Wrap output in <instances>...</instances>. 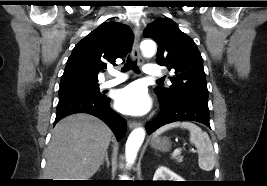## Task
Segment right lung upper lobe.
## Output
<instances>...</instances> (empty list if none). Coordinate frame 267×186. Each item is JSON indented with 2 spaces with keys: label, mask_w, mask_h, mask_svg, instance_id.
<instances>
[{
  "label": "right lung upper lobe",
  "mask_w": 267,
  "mask_h": 186,
  "mask_svg": "<svg viewBox=\"0 0 267 186\" xmlns=\"http://www.w3.org/2000/svg\"><path fill=\"white\" fill-rule=\"evenodd\" d=\"M133 32L118 22H104L82 39L67 60L60 85L98 83V73L131 50Z\"/></svg>",
  "instance_id": "obj_1"
}]
</instances>
